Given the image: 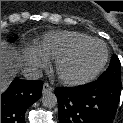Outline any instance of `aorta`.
I'll return each instance as SVG.
<instances>
[{"instance_id": "762f6f07", "label": "aorta", "mask_w": 123, "mask_h": 123, "mask_svg": "<svg viewBox=\"0 0 123 123\" xmlns=\"http://www.w3.org/2000/svg\"><path fill=\"white\" fill-rule=\"evenodd\" d=\"M41 100H42L43 106L47 108H53L57 105V97L55 96L54 93L50 91L44 92Z\"/></svg>"}]
</instances>
